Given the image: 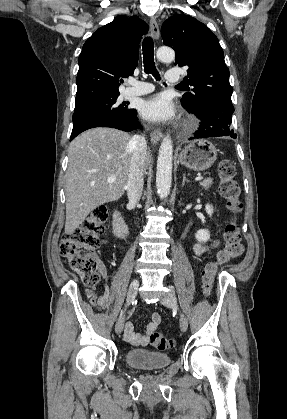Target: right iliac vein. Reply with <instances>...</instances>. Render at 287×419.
I'll return each instance as SVG.
<instances>
[{
  "label": "right iliac vein",
  "instance_id": "1",
  "mask_svg": "<svg viewBox=\"0 0 287 419\" xmlns=\"http://www.w3.org/2000/svg\"><path fill=\"white\" fill-rule=\"evenodd\" d=\"M138 287H139V281L137 279L132 280L129 285L128 292H127V305H129L135 299L137 295ZM124 322H125V314H122L120 318L118 319L115 326V331L117 334H120L122 332L123 327H124Z\"/></svg>",
  "mask_w": 287,
  "mask_h": 419
}]
</instances>
